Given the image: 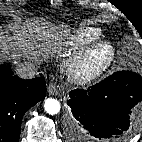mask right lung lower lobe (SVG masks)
<instances>
[{
  "label": "right lung lower lobe",
  "mask_w": 142,
  "mask_h": 142,
  "mask_svg": "<svg viewBox=\"0 0 142 142\" xmlns=\"http://www.w3.org/2000/svg\"><path fill=\"white\" fill-rule=\"evenodd\" d=\"M46 95L42 78L23 80L0 65V142H18L25 112Z\"/></svg>",
  "instance_id": "1"
}]
</instances>
